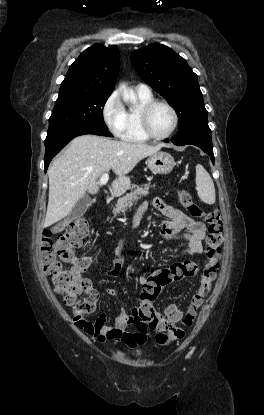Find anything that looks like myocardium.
Segmentation results:
<instances>
[{
  "label": "myocardium",
  "mask_w": 264,
  "mask_h": 415,
  "mask_svg": "<svg viewBox=\"0 0 264 415\" xmlns=\"http://www.w3.org/2000/svg\"><path fill=\"white\" fill-rule=\"evenodd\" d=\"M158 105H163L165 107H167L170 112L173 115V124L172 127L170 128V130L163 134V135H156L155 133H153L151 127H150V122H149V116L151 111ZM139 120H140V127H141V131L142 133L148 138V139H152V140H164L169 138L177 129L178 124H179V115L178 112L176 111V109L167 101L165 100H152L144 105H142L139 109Z\"/></svg>",
  "instance_id": "f54148a6"
}]
</instances>
